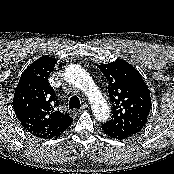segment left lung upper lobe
Wrapping results in <instances>:
<instances>
[{"label":"left lung upper lobe","instance_id":"obj_1","mask_svg":"<svg viewBox=\"0 0 174 174\" xmlns=\"http://www.w3.org/2000/svg\"><path fill=\"white\" fill-rule=\"evenodd\" d=\"M108 81L111 120L102 125L111 132L132 136L146 124L151 108L150 91L139 72L124 60L100 64Z\"/></svg>","mask_w":174,"mask_h":174}]
</instances>
